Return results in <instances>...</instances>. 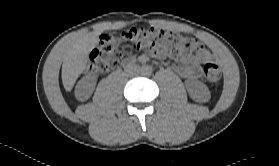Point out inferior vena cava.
<instances>
[{"label": "inferior vena cava", "mask_w": 279, "mask_h": 166, "mask_svg": "<svg viewBox=\"0 0 279 166\" xmlns=\"http://www.w3.org/2000/svg\"><path fill=\"white\" fill-rule=\"evenodd\" d=\"M129 73L132 74V75H135V74L138 73V71H137V70H135V71H129Z\"/></svg>", "instance_id": "obj_1"}]
</instances>
